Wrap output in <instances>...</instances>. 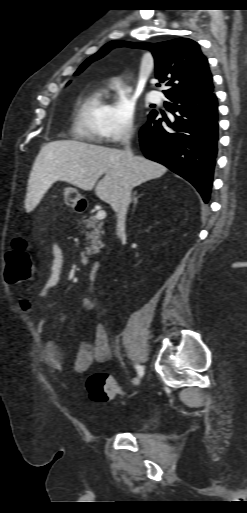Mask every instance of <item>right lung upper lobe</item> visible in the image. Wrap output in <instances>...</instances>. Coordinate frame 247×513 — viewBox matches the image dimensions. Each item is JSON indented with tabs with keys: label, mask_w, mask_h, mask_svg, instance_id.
Returning a JSON list of instances; mask_svg holds the SVG:
<instances>
[{
	"label": "right lung upper lobe",
	"mask_w": 247,
	"mask_h": 513,
	"mask_svg": "<svg viewBox=\"0 0 247 513\" xmlns=\"http://www.w3.org/2000/svg\"><path fill=\"white\" fill-rule=\"evenodd\" d=\"M120 46L153 52L156 78L160 82L167 81L166 85L169 86L163 91L166 97H197L214 91L208 60L201 52L199 44L188 38H178L155 45L114 40L89 57L75 74L80 73L91 62L103 57L112 48Z\"/></svg>",
	"instance_id": "1"
}]
</instances>
